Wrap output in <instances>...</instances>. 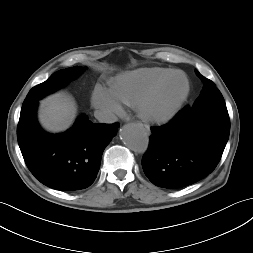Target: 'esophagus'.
<instances>
[{"label":"esophagus","mask_w":253,"mask_h":253,"mask_svg":"<svg viewBox=\"0 0 253 253\" xmlns=\"http://www.w3.org/2000/svg\"><path fill=\"white\" fill-rule=\"evenodd\" d=\"M139 126H140L144 131H146L147 133L150 132V128H149L148 125L139 123Z\"/></svg>","instance_id":"obj_1"}]
</instances>
